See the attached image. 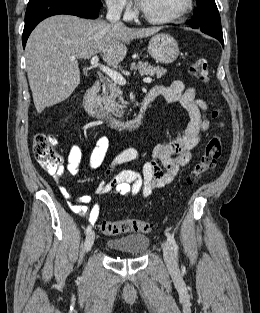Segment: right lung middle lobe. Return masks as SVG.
I'll return each mask as SVG.
<instances>
[{
  "label": "right lung middle lobe",
  "instance_id": "dd1d6c3e",
  "mask_svg": "<svg viewBox=\"0 0 260 313\" xmlns=\"http://www.w3.org/2000/svg\"><path fill=\"white\" fill-rule=\"evenodd\" d=\"M85 1H88V2H91V3H95V4H100L102 5L101 1L100 0H85Z\"/></svg>",
  "mask_w": 260,
  "mask_h": 313
}]
</instances>
